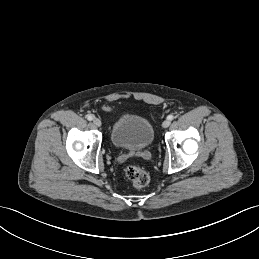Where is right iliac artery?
Listing matches in <instances>:
<instances>
[{"mask_svg": "<svg viewBox=\"0 0 259 259\" xmlns=\"http://www.w3.org/2000/svg\"><path fill=\"white\" fill-rule=\"evenodd\" d=\"M93 118H94L93 115H88V116H87V119H88L89 121L93 120Z\"/></svg>", "mask_w": 259, "mask_h": 259, "instance_id": "1", "label": "right iliac artery"}]
</instances>
